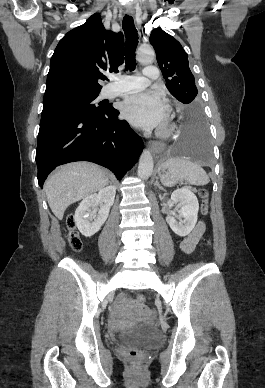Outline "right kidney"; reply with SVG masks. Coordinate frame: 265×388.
<instances>
[{"instance_id":"1","label":"right kidney","mask_w":265,"mask_h":388,"mask_svg":"<svg viewBox=\"0 0 265 388\" xmlns=\"http://www.w3.org/2000/svg\"><path fill=\"white\" fill-rule=\"evenodd\" d=\"M115 194V186H107V188L100 190L98 194H91V196H87L82 200L74 216L76 226L82 236L90 238V236H94L96 232H99L102 224L106 222L109 216L110 208L114 204ZM100 202H104V206H100V210H97L96 206H99Z\"/></svg>"}]
</instances>
